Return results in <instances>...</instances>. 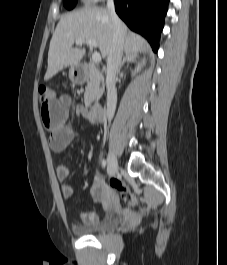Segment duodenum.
<instances>
[{"mask_svg":"<svg viewBox=\"0 0 227 265\" xmlns=\"http://www.w3.org/2000/svg\"><path fill=\"white\" fill-rule=\"evenodd\" d=\"M89 71V67L88 66H83L78 75H77V79L79 81L83 80L84 77L86 76V74ZM90 114L92 116L93 119H95L96 121H102L104 118V109L102 107V105L98 102H94L91 106H90Z\"/></svg>","mask_w":227,"mask_h":265,"instance_id":"obj_1","label":"duodenum"}]
</instances>
